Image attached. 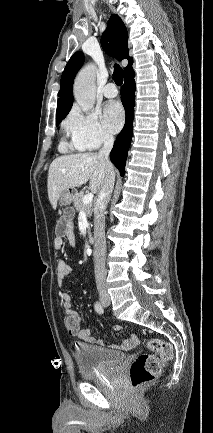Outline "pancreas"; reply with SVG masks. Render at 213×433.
<instances>
[{"label": "pancreas", "instance_id": "pancreas-1", "mask_svg": "<svg viewBox=\"0 0 213 433\" xmlns=\"http://www.w3.org/2000/svg\"><path fill=\"white\" fill-rule=\"evenodd\" d=\"M83 197H84V193L82 191L74 196V198H73L74 207H75L77 212L84 211L86 213L87 217H91L92 205H91V203L90 204H84L83 203Z\"/></svg>", "mask_w": 213, "mask_h": 433}]
</instances>
